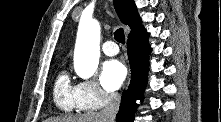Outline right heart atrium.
Masks as SVG:
<instances>
[{
	"label": "right heart atrium",
	"instance_id": "right-heart-atrium-1",
	"mask_svg": "<svg viewBox=\"0 0 221 122\" xmlns=\"http://www.w3.org/2000/svg\"><path fill=\"white\" fill-rule=\"evenodd\" d=\"M76 94L82 110H96L116 100L115 93L104 90L94 79L78 83Z\"/></svg>",
	"mask_w": 221,
	"mask_h": 122
}]
</instances>
